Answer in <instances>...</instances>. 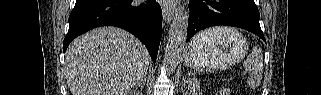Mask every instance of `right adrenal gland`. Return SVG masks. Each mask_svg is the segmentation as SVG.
I'll list each match as a JSON object with an SVG mask.
<instances>
[{"label":"right adrenal gland","mask_w":321,"mask_h":95,"mask_svg":"<svg viewBox=\"0 0 321 95\" xmlns=\"http://www.w3.org/2000/svg\"><path fill=\"white\" fill-rule=\"evenodd\" d=\"M146 82V76L143 77V79L135 86L134 91H136L139 87L144 88Z\"/></svg>","instance_id":"right-adrenal-gland-1"}]
</instances>
